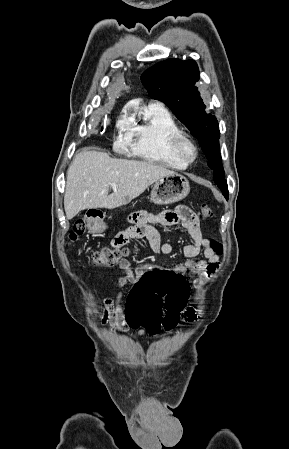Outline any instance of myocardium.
I'll list each match as a JSON object with an SVG mask.
<instances>
[{"label":"myocardium","mask_w":289,"mask_h":449,"mask_svg":"<svg viewBox=\"0 0 289 449\" xmlns=\"http://www.w3.org/2000/svg\"><path fill=\"white\" fill-rule=\"evenodd\" d=\"M170 146L173 154L187 164L194 162L198 157L196 143L182 132L171 138Z\"/></svg>","instance_id":"obj_1"}]
</instances>
